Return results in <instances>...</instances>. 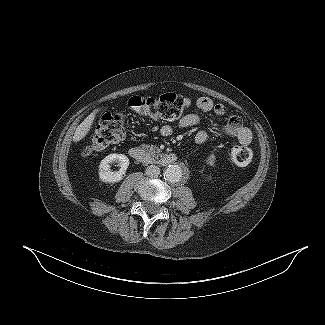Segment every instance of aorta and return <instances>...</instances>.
Returning a JSON list of instances; mask_svg holds the SVG:
<instances>
[{"label":"aorta","instance_id":"aorta-1","mask_svg":"<svg viewBox=\"0 0 325 325\" xmlns=\"http://www.w3.org/2000/svg\"><path fill=\"white\" fill-rule=\"evenodd\" d=\"M164 178L171 183L180 182L183 178V169L179 165H170L164 171Z\"/></svg>","mask_w":325,"mask_h":325}]
</instances>
